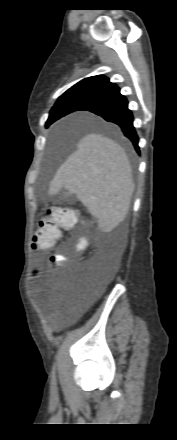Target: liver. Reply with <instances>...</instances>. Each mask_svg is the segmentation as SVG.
I'll use <instances>...</instances> for the list:
<instances>
[{"mask_svg":"<svg viewBox=\"0 0 177 440\" xmlns=\"http://www.w3.org/2000/svg\"><path fill=\"white\" fill-rule=\"evenodd\" d=\"M64 188L75 194L104 232L124 221L134 191L132 168L124 149L101 133L81 138L59 167L48 194Z\"/></svg>","mask_w":177,"mask_h":440,"instance_id":"obj_1","label":"liver"}]
</instances>
